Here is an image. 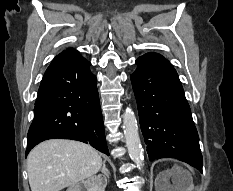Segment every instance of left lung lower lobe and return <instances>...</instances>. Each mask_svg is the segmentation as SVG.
I'll return each instance as SVG.
<instances>
[{"label": "left lung lower lobe", "instance_id": "0a47b994", "mask_svg": "<svg viewBox=\"0 0 233 191\" xmlns=\"http://www.w3.org/2000/svg\"><path fill=\"white\" fill-rule=\"evenodd\" d=\"M136 64L130 78L149 160L175 158L202 172L199 137L177 72L156 53Z\"/></svg>", "mask_w": 233, "mask_h": 191}]
</instances>
